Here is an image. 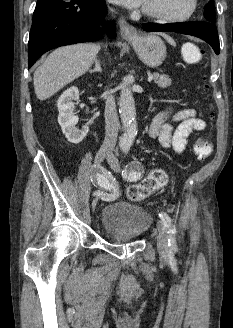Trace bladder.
Instances as JSON below:
<instances>
[{"instance_id": "1", "label": "bladder", "mask_w": 233, "mask_h": 328, "mask_svg": "<svg viewBox=\"0 0 233 328\" xmlns=\"http://www.w3.org/2000/svg\"><path fill=\"white\" fill-rule=\"evenodd\" d=\"M100 219L107 235L127 239L140 236L152 224V217L145 209L124 200L104 206Z\"/></svg>"}]
</instances>
